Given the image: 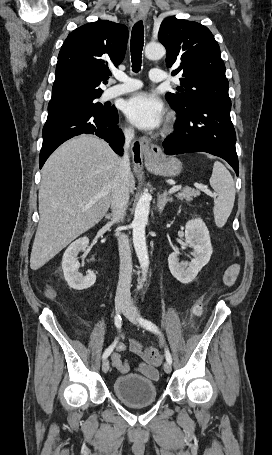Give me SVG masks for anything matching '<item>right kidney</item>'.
Listing matches in <instances>:
<instances>
[{
    "instance_id": "ca27d5eb",
    "label": "right kidney",
    "mask_w": 272,
    "mask_h": 455,
    "mask_svg": "<svg viewBox=\"0 0 272 455\" xmlns=\"http://www.w3.org/2000/svg\"><path fill=\"white\" fill-rule=\"evenodd\" d=\"M88 244L89 239L87 237L79 238L66 249L62 258L64 278L68 285L76 290L87 289L96 281V275L93 271L89 270L86 276H82L78 272L80 267L77 258L78 253L85 250Z\"/></svg>"
}]
</instances>
